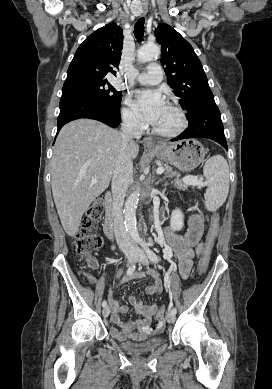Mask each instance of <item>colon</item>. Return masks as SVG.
I'll list each match as a JSON object with an SVG mask.
<instances>
[{
  "label": "colon",
  "instance_id": "1",
  "mask_svg": "<svg viewBox=\"0 0 272 389\" xmlns=\"http://www.w3.org/2000/svg\"><path fill=\"white\" fill-rule=\"evenodd\" d=\"M103 211L104 206L100 201L94 202L86 211L80 229L75 236V252L77 256L87 257L102 247L103 240L96 230L97 224L103 215ZM219 227L220 217L217 213H214L211 218L204 251L199 263L200 274H204L208 268ZM84 275L87 279L92 280V277L88 273H84ZM166 311L167 307L165 305H162L158 309L156 318L160 323L163 322Z\"/></svg>",
  "mask_w": 272,
  "mask_h": 389
}]
</instances>
